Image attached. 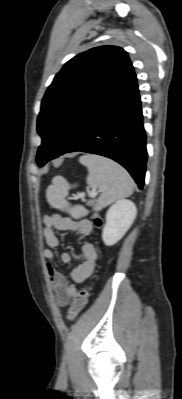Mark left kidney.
Listing matches in <instances>:
<instances>
[{"mask_svg":"<svg viewBox=\"0 0 182 399\" xmlns=\"http://www.w3.org/2000/svg\"><path fill=\"white\" fill-rule=\"evenodd\" d=\"M136 214V206L130 200L121 199L113 204L106 213V224L102 232L104 244H116L132 225Z\"/></svg>","mask_w":182,"mask_h":399,"instance_id":"obj_1","label":"left kidney"}]
</instances>
